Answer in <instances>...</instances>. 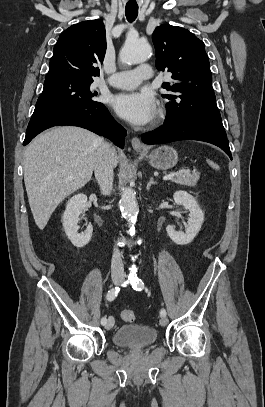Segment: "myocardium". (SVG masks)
<instances>
[{
  "instance_id": "1",
  "label": "myocardium",
  "mask_w": 265,
  "mask_h": 407,
  "mask_svg": "<svg viewBox=\"0 0 265 407\" xmlns=\"http://www.w3.org/2000/svg\"><path fill=\"white\" fill-rule=\"evenodd\" d=\"M161 116H162V112L160 111V112L158 113V116H157V121L161 118Z\"/></svg>"
}]
</instances>
